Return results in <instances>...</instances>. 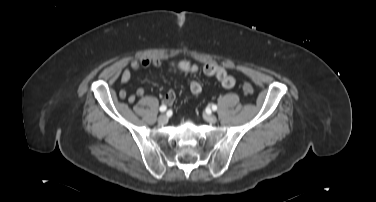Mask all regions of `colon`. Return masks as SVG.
Returning <instances> with one entry per match:
<instances>
[{"label":"colon","mask_w":376,"mask_h":202,"mask_svg":"<svg viewBox=\"0 0 376 202\" xmlns=\"http://www.w3.org/2000/svg\"><path fill=\"white\" fill-rule=\"evenodd\" d=\"M242 89L246 95H252L254 93V88L250 83H244Z\"/></svg>","instance_id":"1"}]
</instances>
